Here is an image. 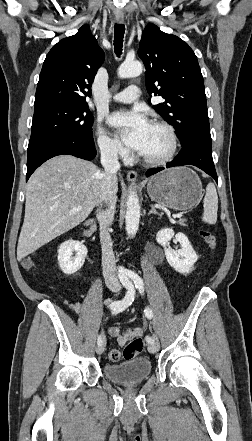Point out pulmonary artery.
<instances>
[{"instance_id": "pulmonary-artery-1", "label": "pulmonary artery", "mask_w": 252, "mask_h": 441, "mask_svg": "<svg viewBox=\"0 0 252 441\" xmlns=\"http://www.w3.org/2000/svg\"><path fill=\"white\" fill-rule=\"evenodd\" d=\"M140 96V89L136 85L128 86L124 91H121L113 96V100L120 103H132Z\"/></svg>"}]
</instances>
